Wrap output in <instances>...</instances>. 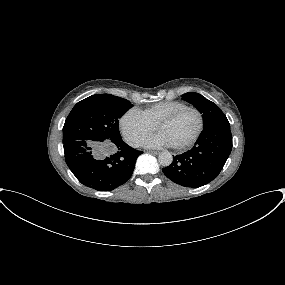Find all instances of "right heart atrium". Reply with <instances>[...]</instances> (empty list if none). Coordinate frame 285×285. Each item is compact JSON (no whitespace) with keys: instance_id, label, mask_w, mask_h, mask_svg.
Returning a JSON list of instances; mask_svg holds the SVG:
<instances>
[{"instance_id":"1","label":"right heart atrium","mask_w":285,"mask_h":285,"mask_svg":"<svg viewBox=\"0 0 285 285\" xmlns=\"http://www.w3.org/2000/svg\"><path fill=\"white\" fill-rule=\"evenodd\" d=\"M121 131L132 146H139L154 131V126L149 124L137 110H128L120 119Z\"/></svg>"}]
</instances>
